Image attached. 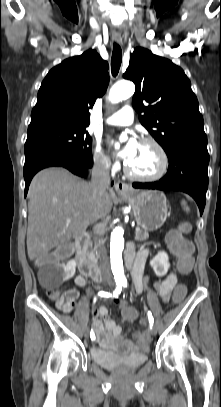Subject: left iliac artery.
I'll use <instances>...</instances> for the list:
<instances>
[{
	"instance_id": "1",
	"label": "left iliac artery",
	"mask_w": 221,
	"mask_h": 407,
	"mask_svg": "<svg viewBox=\"0 0 221 407\" xmlns=\"http://www.w3.org/2000/svg\"><path fill=\"white\" fill-rule=\"evenodd\" d=\"M121 283H122V285L124 287H127L126 279H124ZM148 320H149L150 327L152 328V326L154 324V318H153L152 313L150 311H148Z\"/></svg>"
}]
</instances>
